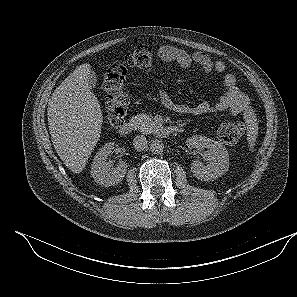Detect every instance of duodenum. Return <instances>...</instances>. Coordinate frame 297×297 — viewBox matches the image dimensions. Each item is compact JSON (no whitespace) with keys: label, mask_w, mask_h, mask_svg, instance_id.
I'll return each mask as SVG.
<instances>
[{"label":"duodenum","mask_w":297,"mask_h":297,"mask_svg":"<svg viewBox=\"0 0 297 297\" xmlns=\"http://www.w3.org/2000/svg\"><path fill=\"white\" fill-rule=\"evenodd\" d=\"M135 127H136V123L132 120H129V121L123 122L119 126L118 131L121 135H129L135 130ZM180 131H181L180 126L170 125V126L161 127L158 130V134L161 137H168L174 133H179Z\"/></svg>","instance_id":"410a0bca"}]
</instances>
